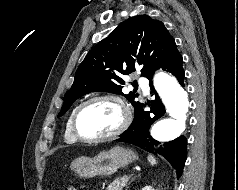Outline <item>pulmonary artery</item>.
I'll return each instance as SVG.
<instances>
[{"label":"pulmonary artery","instance_id":"e3ab8cb5","mask_svg":"<svg viewBox=\"0 0 238 190\" xmlns=\"http://www.w3.org/2000/svg\"><path fill=\"white\" fill-rule=\"evenodd\" d=\"M138 83H139V85L141 86L143 92H144L145 94H148L149 88H148V84H147L146 80L143 79V78H140V79L138 80Z\"/></svg>","mask_w":238,"mask_h":190}]
</instances>
